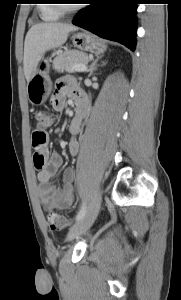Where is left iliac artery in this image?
<instances>
[{
	"label": "left iliac artery",
	"mask_w": 181,
	"mask_h": 300,
	"mask_svg": "<svg viewBox=\"0 0 181 300\" xmlns=\"http://www.w3.org/2000/svg\"><path fill=\"white\" fill-rule=\"evenodd\" d=\"M86 214V205L83 203L81 209L79 210L78 214L76 215V221H79L84 217Z\"/></svg>",
	"instance_id": "obj_1"
}]
</instances>
